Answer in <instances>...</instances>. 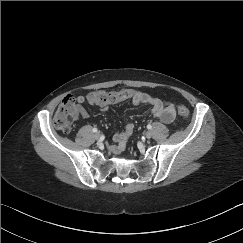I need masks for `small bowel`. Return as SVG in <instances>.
Listing matches in <instances>:
<instances>
[{"label": "small bowel", "mask_w": 243, "mask_h": 243, "mask_svg": "<svg viewBox=\"0 0 243 243\" xmlns=\"http://www.w3.org/2000/svg\"><path fill=\"white\" fill-rule=\"evenodd\" d=\"M132 95L129 99L132 100L134 105L146 104L151 108L153 116L157 117L164 123H171L175 119V107L174 104L169 101H164L157 97L151 96L147 93L132 90ZM77 100L79 103H84L85 98L78 96ZM90 104H96L101 108H105L107 104L94 103L87 99ZM82 116H86V111L81 109ZM134 126L128 122L123 131L116 132L113 137V143L109 144L108 147L115 154H121L127 145L128 139L133 132Z\"/></svg>", "instance_id": "c3829d8e"}]
</instances>
